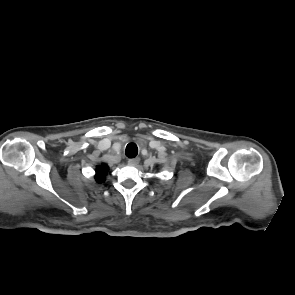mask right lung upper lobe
I'll use <instances>...</instances> for the list:
<instances>
[{"instance_id": "obj_1", "label": "right lung upper lobe", "mask_w": 295, "mask_h": 295, "mask_svg": "<svg viewBox=\"0 0 295 295\" xmlns=\"http://www.w3.org/2000/svg\"><path fill=\"white\" fill-rule=\"evenodd\" d=\"M108 166L106 164H102L96 167V175L95 179L98 183L103 182L105 180V174L108 171Z\"/></svg>"}]
</instances>
